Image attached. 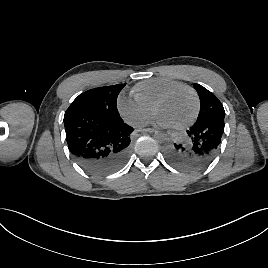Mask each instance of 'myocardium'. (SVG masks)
Returning <instances> with one entry per match:
<instances>
[{
    "instance_id": "f54148a6",
    "label": "myocardium",
    "mask_w": 268,
    "mask_h": 268,
    "mask_svg": "<svg viewBox=\"0 0 268 268\" xmlns=\"http://www.w3.org/2000/svg\"><path fill=\"white\" fill-rule=\"evenodd\" d=\"M188 90L193 98H194V101H195V109H194V112L192 114V116L187 120L185 121L184 123L182 124H179V125H176V126H173L172 128L175 129V130H182L188 126H190L198 117L199 115V112H200V98H199V95L198 93L196 92V90L189 86V85H186V84H178L176 86H173L172 88H170L169 90H167L158 100L157 102L155 103L154 105V108H153V111H154V115L156 116L157 118V113H158V109L159 107L166 101L168 100L173 94H175L176 92H178L179 90Z\"/></svg>"
}]
</instances>
